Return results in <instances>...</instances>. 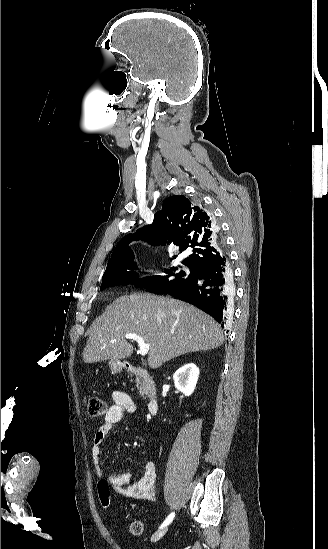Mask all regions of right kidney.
Masks as SVG:
<instances>
[{"instance_id":"ca27d5eb","label":"right kidney","mask_w":328,"mask_h":549,"mask_svg":"<svg viewBox=\"0 0 328 549\" xmlns=\"http://www.w3.org/2000/svg\"><path fill=\"white\" fill-rule=\"evenodd\" d=\"M199 377V369L194 363H187L180 367L173 375L174 385L185 397L192 395Z\"/></svg>"}]
</instances>
